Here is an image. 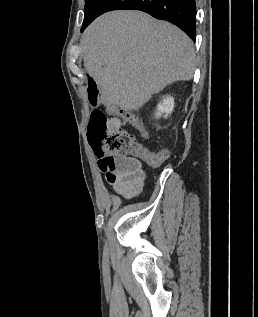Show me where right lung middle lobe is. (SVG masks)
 <instances>
[{"instance_id": "dd1d6c3e", "label": "right lung middle lobe", "mask_w": 258, "mask_h": 317, "mask_svg": "<svg viewBox=\"0 0 258 317\" xmlns=\"http://www.w3.org/2000/svg\"><path fill=\"white\" fill-rule=\"evenodd\" d=\"M85 1H86V3H88L90 0H85ZM86 3H85V4H86Z\"/></svg>"}]
</instances>
